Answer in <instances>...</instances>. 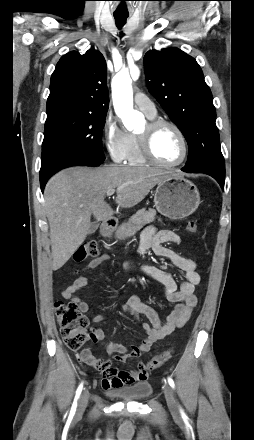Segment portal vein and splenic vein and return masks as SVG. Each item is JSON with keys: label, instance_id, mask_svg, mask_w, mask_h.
I'll use <instances>...</instances> for the list:
<instances>
[{"label": "portal vein and splenic vein", "instance_id": "1", "mask_svg": "<svg viewBox=\"0 0 254 440\" xmlns=\"http://www.w3.org/2000/svg\"><path fill=\"white\" fill-rule=\"evenodd\" d=\"M114 193H115V190L111 189V190H108L106 194H107V196H112Z\"/></svg>", "mask_w": 254, "mask_h": 440}]
</instances>
